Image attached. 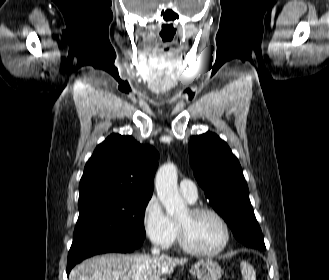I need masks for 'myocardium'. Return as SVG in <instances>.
<instances>
[{
    "label": "myocardium",
    "mask_w": 329,
    "mask_h": 280,
    "mask_svg": "<svg viewBox=\"0 0 329 280\" xmlns=\"http://www.w3.org/2000/svg\"><path fill=\"white\" fill-rule=\"evenodd\" d=\"M189 213L191 216H199V215L207 214L214 217L219 222V224L223 229L224 239L222 244L215 250L205 251V250L197 249L190 243L184 227L180 223H178L177 224L178 236L182 249L185 252L198 257H215L221 254L222 252H224L231 241L230 227L227 221L224 219V217L218 211L205 206H192L189 208Z\"/></svg>",
    "instance_id": "f54148a6"
}]
</instances>
